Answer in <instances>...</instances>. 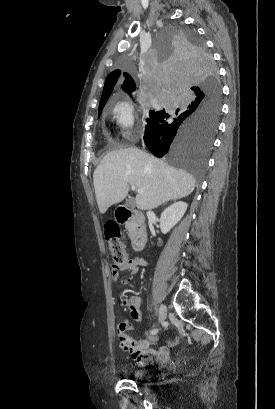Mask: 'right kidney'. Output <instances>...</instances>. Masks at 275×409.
<instances>
[{
	"instance_id": "obj_1",
	"label": "right kidney",
	"mask_w": 275,
	"mask_h": 409,
	"mask_svg": "<svg viewBox=\"0 0 275 409\" xmlns=\"http://www.w3.org/2000/svg\"><path fill=\"white\" fill-rule=\"evenodd\" d=\"M187 207V202L178 200V202H173V205H170V207L163 211L160 219V229L164 235L169 233L170 229L179 223L185 211H187Z\"/></svg>"
}]
</instances>
